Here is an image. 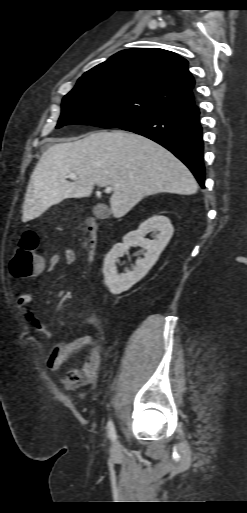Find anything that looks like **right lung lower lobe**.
Segmentation results:
<instances>
[{
    "label": "right lung lower lobe",
    "mask_w": 247,
    "mask_h": 513,
    "mask_svg": "<svg viewBox=\"0 0 247 513\" xmlns=\"http://www.w3.org/2000/svg\"><path fill=\"white\" fill-rule=\"evenodd\" d=\"M119 128L143 135L171 151L205 187L202 128L194 103L169 108Z\"/></svg>",
    "instance_id": "98d812e1"
}]
</instances>
